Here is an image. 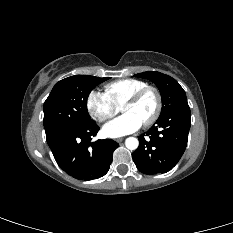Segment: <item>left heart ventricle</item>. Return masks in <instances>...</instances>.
Segmentation results:
<instances>
[{
  "mask_svg": "<svg viewBox=\"0 0 233 233\" xmlns=\"http://www.w3.org/2000/svg\"><path fill=\"white\" fill-rule=\"evenodd\" d=\"M155 109L156 97L152 92H148L137 103L124 107L122 112L132 114L143 124L153 115Z\"/></svg>",
  "mask_w": 233,
  "mask_h": 233,
  "instance_id": "1",
  "label": "left heart ventricle"
}]
</instances>
